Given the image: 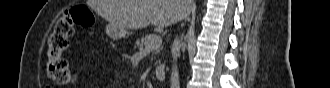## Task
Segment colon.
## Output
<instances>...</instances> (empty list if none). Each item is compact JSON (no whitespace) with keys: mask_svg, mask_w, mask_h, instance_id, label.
<instances>
[{"mask_svg":"<svg viewBox=\"0 0 330 88\" xmlns=\"http://www.w3.org/2000/svg\"><path fill=\"white\" fill-rule=\"evenodd\" d=\"M94 22L92 13L83 5H76L65 11L56 21L48 38L47 75L57 84L70 85L75 74L63 53L69 46L74 26L89 28Z\"/></svg>","mask_w":330,"mask_h":88,"instance_id":"5ec220e1","label":"colon"}]
</instances>
